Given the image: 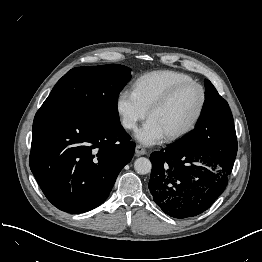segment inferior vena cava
<instances>
[{
	"instance_id": "602c4592",
	"label": "inferior vena cava",
	"mask_w": 262,
	"mask_h": 262,
	"mask_svg": "<svg viewBox=\"0 0 262 262\" xmlns=\"http://www.w3.org/2000/svg\"><path fill=\"white\" fill-rule=\"evenodd\" d=\"M123 126L126 128H132L135 126V123L130 121V120H124L123 121Z\"/></svg>"
}]
</instances>
